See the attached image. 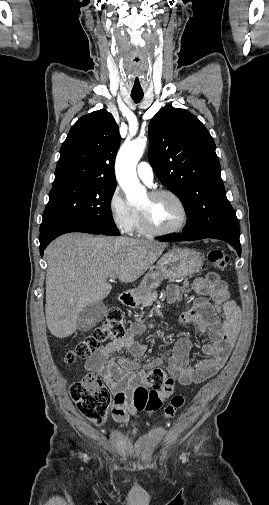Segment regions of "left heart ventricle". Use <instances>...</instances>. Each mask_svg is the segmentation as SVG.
Masks as SVG:
<instances>
[{
    "instance_id": "1",
    "label": "left heart ventricle",
    "mask_w": 269,
    "mask_h": 505,
    "mask_svg": "<svg viewBox=\"0 0 269 505\" xmlns=\"http://www.w3.org/2000/svg\"><path fill=\"white\" fill-rule=\"evenodd\" d=\"M139 208L145 210L152 223L162 229L175 227L182 220L181 207L169 196L152 198L147 194Z\"/></svg>"
}]
</instances>
